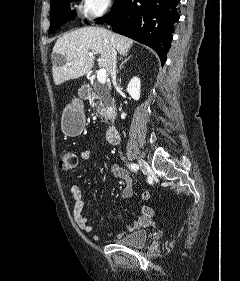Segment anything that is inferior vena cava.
Wrapping results in <instances>:
<instances>
[{
	"mask_svg": "<svg viewBox=\"0 0 240 281\" xmlns=\"http://www.w3.org/2000/svg\"><path fill=\"white\" fill-rule=\"evenodd\" d=\"M111 57H112V68L110 73H111L113 84L116 86V52L115 51H112Z\"/></svg>",
	"mask_w": 240,
	"mask_h": 281,
	"instance_id": "inferior-vena-cava-1",
	"label": "inferior vena cava"
}]
</instances>
